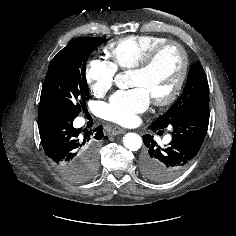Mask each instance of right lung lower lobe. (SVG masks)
Returning <instances> with one entry per match:
<instances>
[{
    "label": "right lung lower lobe",
    "mask_w": 236,
    "mask_h": 236,
    "mask_svg": "<svg viewBox=\"0 0 236 236\" xmlns=\"http://www.w3.org/2000/svg\"><path fill=\"white\" fill-rule=\"evenodd\" d=\"M74 119L59 114H39L38 127L46 155L66 178L80 182L82 169L97 158L99 142L107 136L102 126L92 131L74 128Z\"/></svg>",
    "instance_id": "right-lung-lower-lobe-1"
}]
</instances>
